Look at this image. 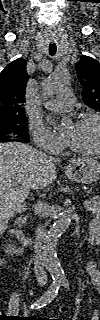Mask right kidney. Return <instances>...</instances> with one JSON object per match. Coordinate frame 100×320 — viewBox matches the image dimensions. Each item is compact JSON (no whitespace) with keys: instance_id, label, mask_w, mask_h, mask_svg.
<instances>
[{"instance_id":"ca27d5eb","label":"right kidney","mask_w":100,"mask_h":320,"mask_svg":"<svg viewBox=\"0 0 100 320\" xmlns=\"http://www.w3.org/2000/svg\"><path fill=\"white\" fill-rule=\"evenodd\" d=\"M9 233H10V235L17 236V235H19L21 232H20V231L15 230V229H11V230H9Z\"/></svg>"}]
</instances>
